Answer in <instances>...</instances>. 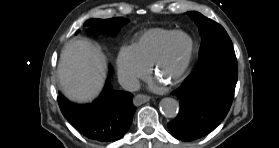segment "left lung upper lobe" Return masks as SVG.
Wrapping results in <instances>:
<instances>
[{"mask_svg": "<svg viewBox=\"0 0 279 148\" xmlns=\"http://www.w3.org/2000/svg\"><path fill=\"white\" fill-rule=\"evenodd\" d=\"M188 15L198 26L202 37L199 59H203L216 52L234 49L231 39L221 25L198 12H188Z\"/></svg>", "mask_w": 279, "mask_h": 148, "instance_id": "obj_1", "label": "left lung upper lobe"}]
</instances>
